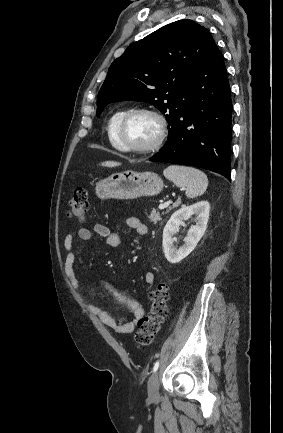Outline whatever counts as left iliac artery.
Here are the masks:
<instances>
[{
    "label": "left iliac artery",
    "instance_id": "44dca946",
    "mask_svg": "<svg viewBox=\"0 0 283 433\" xmlns=\"http://www.w3.org/2000/svg\"><path fill=\"white\" fill-rule=\"evenodd\" d=\"M159 368V361H156L153 366V372H156Z\"/></svg>",
    "mask_w": 283,
    "mask_h": 433
}]
</instances>
